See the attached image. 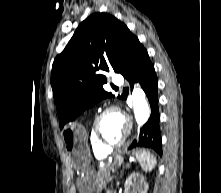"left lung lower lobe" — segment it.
I'll return each mask as SVG.
<instances>
[{"mask_svg":"<svg viewBox=\"0 0 221 193\" xmlns=\"http://www.w3.org/2000/svg\"><path fill=\"white\" fill-rule=\"evenodd\" d=\"M121 74L131 84L134 82L141 84L151 107L149 120L141 127L138 137L132 142L129 149L146 147L162 155L157 76L149 55L140 42L135 45ZM131 87L133 88V85Z\"/></svg>","mask_w":221,"mask_h":193,"instance_id":"0a47b994","label":"left lung lower lobe"}]
</instances>
